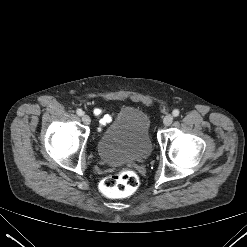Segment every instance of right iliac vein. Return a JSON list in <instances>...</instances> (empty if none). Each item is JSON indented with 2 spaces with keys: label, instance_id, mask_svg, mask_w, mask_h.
<instances>
[{
  "label": "right iliac vein",
  "instance_id": "right-iliac-vein-1",
  "mask_svg": "<svg viewBox=\"0 0 247 247\" xmlns=\"http://www.w3.org/2000/svg\"><path fill=\"white\" fill-rule=\"evenodd\" d=\"M82 121L86 125H89L91 123L90 117L88 115H86V114L82 115Z\"/></svg>",
  "mask_w": 247,
  "mask_h": 247
}]
</instances>
